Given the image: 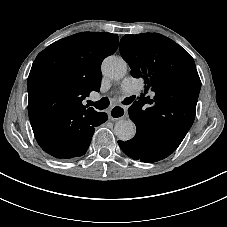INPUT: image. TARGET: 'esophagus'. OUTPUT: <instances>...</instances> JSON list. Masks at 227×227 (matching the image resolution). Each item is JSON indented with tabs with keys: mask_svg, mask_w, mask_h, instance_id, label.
<instances>
[{
	"mask_svg": "<svg viewBox=\"0 0 227 227\" xmlns=\"http://www.w3.org/2000/svg\"><path fill=\"white\" fill-rule=\"evenodd\" d=\"M127 114V110L122 105H114L109 110V119L111 120H119L122 119Z\"/></svg>",
	"mask_w": 227,
	"mask_h": 227,
	"instance_id": "esophagus-1",
	"label": "esophagus"
}]
</instances>
